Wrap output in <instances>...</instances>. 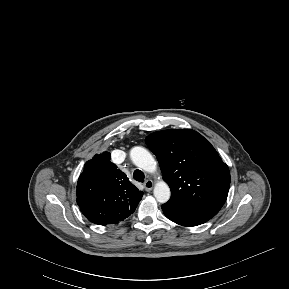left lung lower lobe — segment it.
I'll return each mask as SVG.
<instances>
[{
    "label": "left lung lower lobe",
    "mask_w": 289,
    "mask_h": 289,
    "mask_svg": "<svg viewBox=\"0 0 289 289\" xmlns=\"http://www.w3.org/2000/svg\"><path fill=\"white\" fill-rule=\"evenodd\" d=\"M162 210L168 219L187 227L205 223L214 216L204 210L170 201L162 205Z\"/></svg>",
    "instance_id": "left-lung-lower-lobe-1"
}]
</instances>
